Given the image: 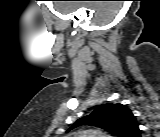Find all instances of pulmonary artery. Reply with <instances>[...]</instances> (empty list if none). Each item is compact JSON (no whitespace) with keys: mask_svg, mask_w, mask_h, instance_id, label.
<instances>
[{"mask_svg":"<svg viewBox=\"0 0 160 137\" xmlns=\"http://www.w3.org/2000/svg\"><path fill=\"white\" fill-rule=\"evenodd\" d=\"M80 137H97V135L94 133H85V134L81 135Z\"/></svg>","mask_w":160,"mask_h":137,"instance_id":"e3ab8cb5","label":"pulmonary artery"}]
</instances>
